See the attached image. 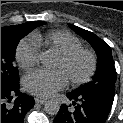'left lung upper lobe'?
I'll use <instances>...</instances> for the list:
<instances>
[{"label": "left lung upper lobe", "instance_id": "5c2ea615", "mask_svg": "<svg viewBox=\"0 0 123 123\" xmlns=\"http://www.w3.org/2000/svg\"><path fill=\"white\" fill-rule=\"evenodd\" d=\"M69 26L91 44L98 57L97 70L93 80L74 91L80 93H98L114 97L116 72L111 47L94 33L72 24H69Z\"/></svg>", "mask_w": 123, "mask_h": 123}]
</instances>
